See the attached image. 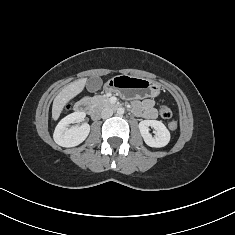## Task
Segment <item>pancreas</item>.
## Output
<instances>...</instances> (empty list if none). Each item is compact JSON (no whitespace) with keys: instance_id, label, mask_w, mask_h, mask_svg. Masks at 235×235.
Instances as JSON below:
<instances>
[{"instance_id":"pancreas-1","label":"pancreas","mask_w":235,"mask_h":235,"mask_svg":"<svg viewBox=\"0 0 235 235\" xmlns=\"http://www.w3.org/2000/svg\"><path fill=\"white\" fill-rule=\"evenodd\" d=\"M92 103L96 106H100V107H105V106H109V97H107L106 95H99V96H94L91 99Z\"/></svg>"}]
</instances>
